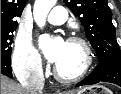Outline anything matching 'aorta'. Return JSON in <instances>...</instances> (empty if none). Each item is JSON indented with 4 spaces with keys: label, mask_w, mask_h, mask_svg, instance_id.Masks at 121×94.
<instances>
[{
    "label": "aorta",
    "mask_w": 121,
    "mask_h": 94,
    "mask_svg": "<svg viewBox=\"0 0 121 94\" xmlns=\"http://www.w3.org/2000/svg\"><path fill=\"white\" fill-rule=\"evenodd\" d=\"M56 4V0H35L33 16L39 27L45 25L49 11Z\"/></svg>",
    "instance_id": "1"
}]
</instances>
